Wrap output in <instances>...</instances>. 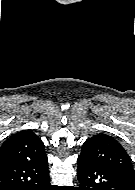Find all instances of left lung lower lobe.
Wrapping results in <instances>:
<instances>
[{
  "label": "left lung lower lobe",
  "mask_w": 135,
  "mask_h": 190,
  "mask_svg": "<svg viewBox=\"0 0 135 190\" xmlns=\"http://www.w3.org/2000/svg\"><path fill=\"white\" fill-rule=\"evenodd\" d=\"M77 163L78 190H135L111 168L99 162L78 157Z\"/></svg>",
  "instance_id": "0a47b994"
}]
</instances>
